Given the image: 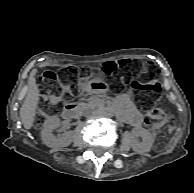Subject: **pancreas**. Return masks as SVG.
I'll return each mask as SVG.
<instances>
[{
  "label": "pancreas",
  "mask_w": 194,
  "mask_h": 193,
  "mask_svg": "<svg viewBox=\"0 0 194 193\" xmlns=\"http://www.w3.org/2000/svg\"><path fill=\"white\" fill-rule=\"evenodd\" d=\"M107 100V97H100L99 100L96 101V104L98 106H101L105 101Z\"/></svg>",
  "instance_id": "pancreas-1"
}]
</instances>
